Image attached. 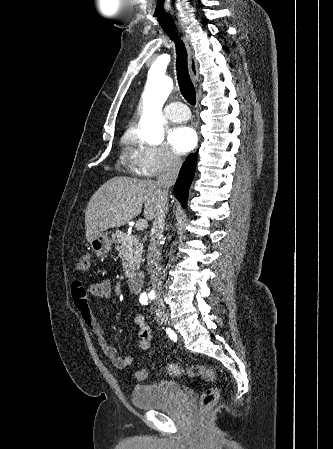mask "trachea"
Instances as JSON below:
<instances>
[{
    "label": "trachea",
    "instance_id": "trachea-1",
    "mask_svg": "<svg viewBox=\"0 0 333 449\" xmlns=\"http://www.w3.org/2000/svg\"><path fill=\"white\" fill-rule=\"evenodd\" d=\"M170 39L175 43L177 62V79L183 97L191 105L196 104V91L188 72V53L181 36L174 27L163 28Z\"/></svg>",
    "mask_w": 333,
    "mask_h": 449
}]
</instances>
